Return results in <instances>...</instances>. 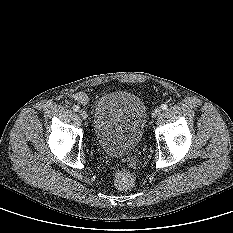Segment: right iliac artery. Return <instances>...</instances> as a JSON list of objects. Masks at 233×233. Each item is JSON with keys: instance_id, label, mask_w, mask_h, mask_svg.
I'll list each match as a JSON object with an SVG mask.
<instances>
[{"instance_id": "1", "label": "right iliac artery", "mask_w": 233, "mask_h": 233, "mask_svg": "<svg viewBox=\"0 0 233 233\" xmlns=\"http://www.w3.org/2000/svg\"><path fill=\"white\" fill-rule=\"evenodd\" d=\"M72 109H73V111L77 112V111H79L80 107L78 105H74L72 107Z\"/></svg>"}]
</instances>
